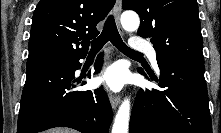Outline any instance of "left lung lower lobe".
Wrapping results in <instances>:
<instances>
[{"instance_id":"0a47b994","label":"left lung lower lobe","mask_w":221,"mask_h":133,"mask_svg":"<svg viewBox=\"0 0 221 133\" xmlns=\"http://www.w3.org/2000/svg\"><path fill=\"white\" fill-rule=\"evenodd\" d=\"M157 63L159 86L166 90H139L130 133H212L204 63L158 58ZM138 72L146 76L141 68Z\"/></svg>"}]
</instances>
